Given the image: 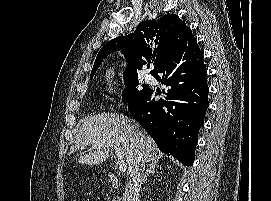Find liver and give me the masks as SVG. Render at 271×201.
Returning <instances> with one entry per match:
<instances>
[{
  "mask_svg": "<svg viewBox=\"0 0 271 201\" xmlns=\"http://www.w3.org/2000/svg\"><path fill=\"white\" fill-rule=\"evenodd\" d=\"M140 133L144 135L143 141ZM102 145L98 148L97 145ZM96 146L97 151L81 155L78 161L88 165H98L109 158L113 149L119 150L128 165L127 176L135 168L140 155L145 162L159 159L158 147L154 140L132 119L118 113H100L84 119L70 152Z\"/></svg>",
  "mask_w": 271,
  "mask_h": 201,
  "instance_id": "obj_1",
  "label": "liver"
}]
</instances>
